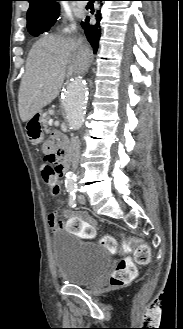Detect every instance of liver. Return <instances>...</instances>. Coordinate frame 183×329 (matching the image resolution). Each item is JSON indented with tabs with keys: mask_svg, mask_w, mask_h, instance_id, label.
<instances>
[{
	"mask_svg": "<svg viewBox=\"0 0 183 329\" xmlns=\"http://www.w3.org/2000/svg\"><path fill=\"white\" fill-rule=\"evenodd\" d=\"M89 48L82 38H62L47 35L31 49L22 77L18 109L20 118L27 122L51 103L59 94L65 77L83 73L78 52Z\"/></svg>",
	"mask_w": 183,
	"mask_h": 329,
	"instance_id": "liver-1",
	"label": "liver"
}]
</instances>
